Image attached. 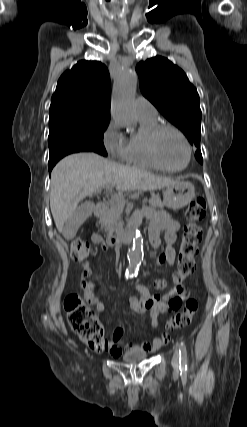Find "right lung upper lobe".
I'll return each mask as SVG.
<instances>
[{"instance_id":"cb5924a9","label":"right lung upper lobe","mask_w":247,"mask_h":427,"mask_svg":"<svg viewBox=\"0 0 247 427\" xmlns=\"http://www.w3.org/2000/svg\"><path fill=\"white\" fill-rule=\"evenodd\" d=\"M110 76L98 61H79L62 74L52 96L50 114L77 110L110 116Z\"/></svg>"}]
</instances>
